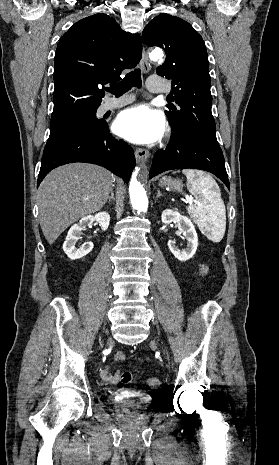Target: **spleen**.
<instances>
[{
  "mask_svg": "<svg viewBox=\"0 0 279 465\" xmlns=\"http://www.w3.org/2000/svg\"><path fill=\"white\" fill-rule=\"evenodd\" d=\"M187 188L194 200L188 214L213 242H220L226 229V210L216 181L203 171L186 169Z\"/></svg>",
  "mask_w": 279,
  "mask_h": 465,
  "instance_id": "1",
  "label": "spleen"
}]
</instances>
